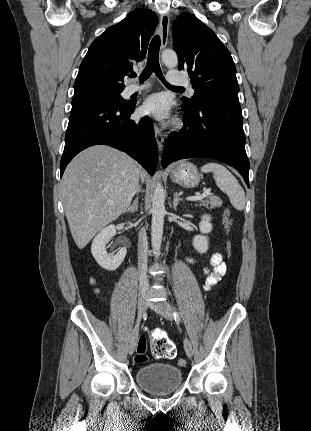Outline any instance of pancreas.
<instances>
[{"instance_id":"cf45deb5","label":"pancreas","mask_w":311,"mask_h":431,"mask_svg":"<svg viewBox=\"0 0 311 431\" xmlns=\"http://www.w3.org/2000/svg\"><path fill=\"white\" fill-rule=\"evenodd\" d=\"M199 206H205L208 210H212V208H220L223 202L218 198V196H208V200H199Z\"/></svg>"}]
</instances>
